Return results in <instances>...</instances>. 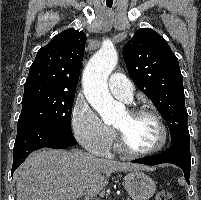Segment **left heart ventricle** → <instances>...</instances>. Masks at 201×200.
Instances as JSON below:
<instances>
[{
    "label": "left heart ventricle",
    "instance_id": "1",
    "mask_svg": "<svg viewBox=\"0 0 201 200\" xmlns=\"http://www.w3.org/2000/svg\"><path fill=\"white\" fill-rule=\"evenodd\" d=\"M115 127L122 130L128 144L138 151L154 148L161 139L160 128L150 116L142 115L132 118L126 112Z\"/></svg>",
    "mask_w": 201,
    "mask_h": 200
}]
</instances>
